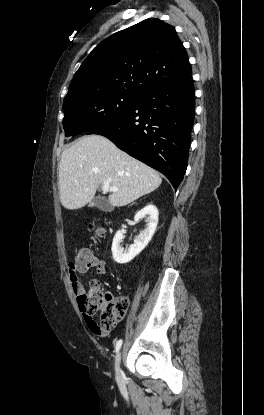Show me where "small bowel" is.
<instances>
[{"label":"small bowel","mask_w":264,"mask_h":415,"mask_svg":"<svg viewBox=\"0 0 264 415\" xmlns=\"http://www.w3.org/2000/svg\"><path fill=\"white\" fill-rule=\"evenodd\" d=\"M85 271H86V268H80L79 270H77L76 273L70 272V281H71L72 289L74 293L78 296H80L83 293V285L80 281L79 275L84 273ZM96 271L99 274H103L105 272V263L103 261L98 260L96 262ZM92 331L99 336L107 335V331L105 329H99V330L92 329Z\"/></svg>","instance_id":"1"}]
</instances>
